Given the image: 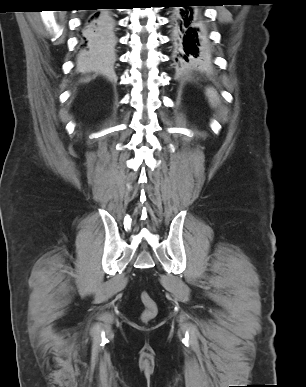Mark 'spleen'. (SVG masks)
I'll list each match as a JSON object with an SVG mask.
<instances>
[{
	"mask_svg": "<svg viewBox=\"0 0 306 387\" xmlns=\"http://www.w3.org/2000/svg\"><path fill=\"white\" fill-rule=\"evenodd\" d=\"M206 96L208 97V100L210 104L214 107L217 105L219 99L217 93L212 88H208L206 90Z\"/></svg>",
	"mask_w": 306,
	"mask_h": 387,
	"instance_id": "1",
	"label": "spleen"
}]
</instances>
